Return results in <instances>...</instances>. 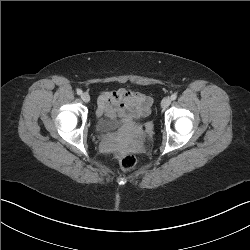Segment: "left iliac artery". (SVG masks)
<instances>
[{
    "label": "left iliac artery",
    "mask_w": 250,
    "mask_h": 250,
    "mask_svg": "<svg viewBox=\"0 0 250 250\" xmlns=\"http://www.w3.org/2000/svg\"><path fill=\"white\" fill-rule=\"evenodd\" d=\"M177 98V95L176 94H172L171 95V100H175Z\"/></svg>",
    "instance_id": "left-iliac-artery-1"
}]
</instances>
